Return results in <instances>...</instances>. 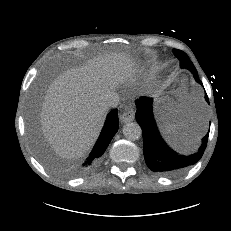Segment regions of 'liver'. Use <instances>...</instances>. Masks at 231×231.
I'll use <instances>...</instances> for the list:
<instances>
[{"label":"liver","instance_id":"1","mask_svg":"<svg viewBox=\"0 0 231 231\" xmlns=\"http://www.w3.org/2000/svg\"><path fill=\"white\" fill-rule=\"evenodd\" d=\"M135 73V62L127 54L104 53L49 85L39 117L44 138L56 154L77 159L91 150L108 112L107 96Z\"/></svg>","mask_w":231,"mask_h":231}]
</instances>
